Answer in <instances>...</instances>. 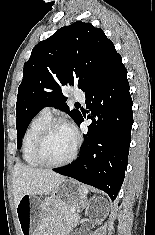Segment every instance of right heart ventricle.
<instances>
[{
    "instance_id": "e07e8e85",
    "label": "right heart ventricle",
    "mask_w": 155,
    "mask_h": 235,
    "mask_svg": "<svg viewBox=\"0 0 155 235\" xmlns=\"http://www.w3.org/2000/svg\"><path fill=\"white\" fill-rule=\"evenodd\" d=\"M51 120V116L40 112L28 124L21 141V155L23 161L31 167H39L41 164L34 156L36 141L45 127Z\"/></svg>"
}]
</instances>
